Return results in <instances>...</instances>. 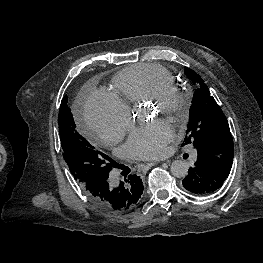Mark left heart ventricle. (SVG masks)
Wrapping results in <instances>:
<instances>
[{"label": "left heart ventricle", "instance_id": "left-heart-ventricle-1", "mask_svg": "<svg viewBox=\"0 0 263 263\" xmlns=\"http://www.w3.org/2000/svg\"><path fill=\"white\" fill-rule=\"evenodd\" d=\"M154 110H155V111L157 110L156 107H154Z\"/></svg>", "mask_w": 263, "mask_h": 263}]
</instances>
